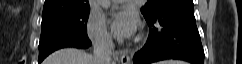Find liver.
Returning a JSON list of instances; mask_svg holds the SVG:
<instances>
[{"label": "liver", "mask_w": 242, "mask_h": 64, "mask_svg": "<svg viewBox=\"0 0 242 64\" xmlns=\"http://www.w3.org/2000/svg\"><path fill=\"white\" fill-rule=\"evenodd\" d=\"M42 64H96L92 55L80 50L67 48L49 55Z\"/></svg>", "instance_id": "liver-1"}]
</instances>
